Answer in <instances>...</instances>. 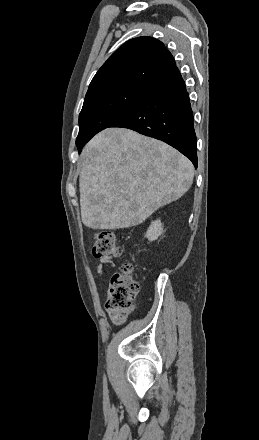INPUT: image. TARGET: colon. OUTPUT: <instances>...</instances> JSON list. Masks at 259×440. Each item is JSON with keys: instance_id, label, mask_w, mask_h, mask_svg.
I'll return each instance as SVG.
<instances>
[{"instance_id": "obj_1", "label": "colon", "mask_w": 259, "mask_h": 440, "mask_svg": "<svg viewBox=\"0 0 259 440\" xmlns=\"http://www.w3.org/2000/svg\"><path fill=\"white\" fill-rule=\"evenodd\" d=\"M121 252V247L113 233L100 231L95 234L92 244V253L95 257H118ZM135 275L133 266L126 263L110 279L106 310L115 324L123 323L132 310V301L139 291Z\"/></svg>"}]
</instances>
